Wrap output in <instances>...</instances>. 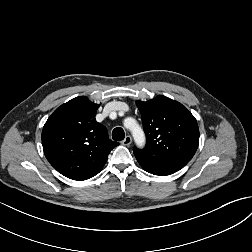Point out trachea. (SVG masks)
<instances>
[{
	"instance_id": "trachea-1",
	"label": "trachea",
	"mask_w": 252,
	"mask_h": 252,
	"mask_svg": "<svg viewBox=\"0 0 252 252\" xmlns=\"http://www.w3.org/2000/svg\"><path fill=\"white\" fill-rule=\"evenodd\" d=\"M125 137V133L124 130L121 127H116L113 131H112V138L115 141H121L123 140Z\"/></svg>"
}]
</instances>
